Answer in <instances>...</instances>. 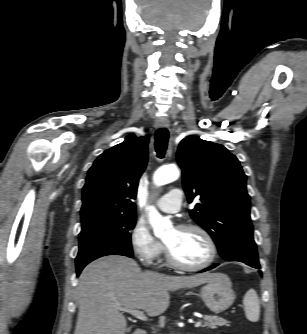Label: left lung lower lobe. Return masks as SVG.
<instances>
[{
	"mask_svg": "<svg viewBox=\"0 0 307 334\" xmlns=\"http://www.w3.org/2000/svg\"><path fill=\"white\" fill-rule=\"evenodd\" d=\"M227 254L222 256L226 261H239L243 262L253 268L260 269L258 260L257 248L254 239L251 238H240L234 240L227 250ZM218 266L215 264L211 267L204 269L201 272L208 271ZM259 273H262L259 271Z\"/></svg>",
	"mask_w": 307,
	"mask_h": 334,
	"instance_id": "0a47b994",
	"label": "left lung lower lobe"
}]
</instances>
